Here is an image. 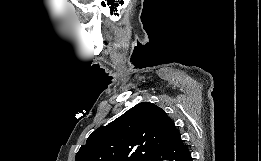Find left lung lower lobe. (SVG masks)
<instances>
[{
    "mask_svg": "<svg viewBox=\"0 0 261 161\" xmlns=\"http://www.w3.org/2000/svg\"><path fill=\"white\" fill-rule=\"evenodd\" d=\"M149 161H192V157L177 130L166 145L153 151Z\"/></svg>",
    "mask_w": 261,
    "mask_h": 161,
    "instance_id": "obj_1",
    "label": "left lung lower lobe"
}]
</instances>
